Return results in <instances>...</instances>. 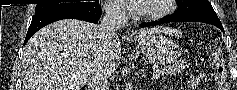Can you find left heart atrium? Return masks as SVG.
Listing matches in <instances>:
<instances>
[{"label": "left heart atrium", "mask_w": 237, "mask_h": 90, "mask_svg": "<svg viewBox=\"0 0 237 90\" xmlns=\"http://www.w3.org/2000/svg\"><path fill=\"white\" fill-rule=\"evenodd\" d=\"M118 3H124L125 7H134L135 3H149L150 0H117Z\"/></svg>", "instance_id": "1"}]
</instances>
